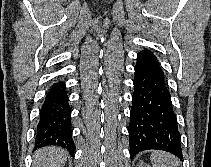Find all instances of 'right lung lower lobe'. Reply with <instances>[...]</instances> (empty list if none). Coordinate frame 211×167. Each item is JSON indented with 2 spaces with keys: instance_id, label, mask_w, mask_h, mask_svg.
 Wrapping results in <instances>:
<instances>
[{
  "instance_id": "1",
  "label": "right lung lower lobe",
  "mask_w": 211,
  "mask_h": 167,
  "mask_svg": "<svg viewBox=\"0 0 211 167\" xmlns=\"http://www.w3.org/2000/svg\"><path fill=\"white\" fill-rule=\"evenodd\" d=\"M71 109L65 83L58 81L48 90L40 110L37 125L35 148L60 146L74 154L75 144L72 139Z\"/></svg>"
}]
</instances>
